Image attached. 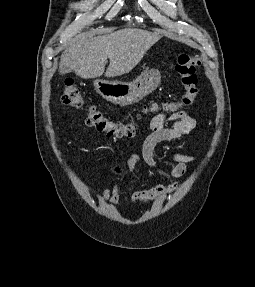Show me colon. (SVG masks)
<instances>
[{
    "label": "colon",
    "instance_id": "obj_1",
    "mask_svg": "<svg viewBox=\"0 0 255 287\" xmlns=\"http://www.w3.org/2000/svg\"><path fill=\"white\" fill-rule=\"evenodd\" d=\"M200 60L196 56L181 54L177 57L175 72L184 88V93L177 102H167L160 105L151 104L147 106L145 112H176L179 109L190 106L194 103L198 88V78L196 75ZM61 101L64 105L82 109L85 102L79 87L73 80H66L61 93ZM85 123L98 132L108 137L122 138L131 137L136 133V124L134 122H117L107 118L101 111L95 107H87L85 111Z\"/></svg>",
    "mask_w": 255,
    "mask_h": 287
}]
</instances>
